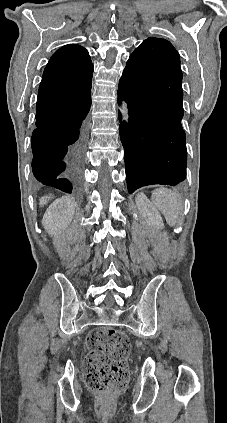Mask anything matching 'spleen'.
Wrapping results in <instances>:
<instances>
[{"mask_svg": "<svg viewBox=\"0 0 227 423\" xmlns=\"http://www.w3.org/2000/svg\"><path fill=\"white\" fill-rule=\"evenodd\" d=\"M151 200L154 208L161 211L167 223L173 227L183 210V200L179 194L168 188H157L152 192Z\"/></svg>", "mask_w": 227, "mask_h": 423, "instance_id": "3e777b00", "label": "spleen"}]
</instances>
